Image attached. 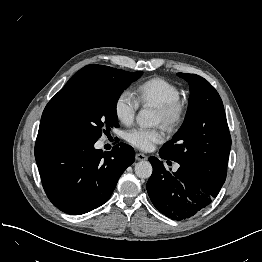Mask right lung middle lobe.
Returning a JSON list of instances; mask_svg holds the SVG:
<instances>
[{"label":"right lung middle lobe","mask_w":262,"mask_h":262,"mask_svg":"<svg viewBox=\"0 0 262 262\" xmlns=\"http://www.w3.org/2000/svg\"><path fill=\"white\" fill-rule=\"evenodd\" d=\"M142 72L87 65L74 74L45 107L40 129L68 132L91 141L118 127L117 101Z\"/></svg>","instance_id":"dd1d6c3e"}]
</instances>
